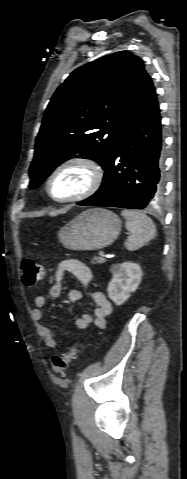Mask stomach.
I'll list each match as a JSON object with an SVG mask.
<instances>
[{"instance_id": "0dacf381", "label": "stomach", "mask_w": 187, "mask_h": 479, "mask_svg": "<svg viewBox=\"0 0 187 479\" xmlns=\"http://www.w3.org/2000/svg\"><path fill=\"white\" fill-rule=\"evenodd\" d=\"M121 231L119 217L106 209H89L58 232L59 241L71 250H98L112 244Z\"/></svg>"}]
</instances>
